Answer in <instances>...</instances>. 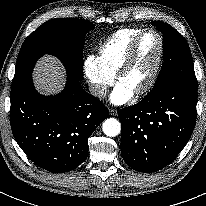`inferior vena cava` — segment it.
Returning <instances> with one entry per match:
<instances>
[{
    "label": "inferior vena cava",
    "instance_id": "602c4592",
    "mask_svg": "<svg viewBox=\"0 0 206 206\" xmlns=\"http://www.w3.org/2000/svg\"><path fill=\"white\" fill-rule=\"evenodd\" d=\"M90 93L98 98H104L107 95V87L99 84L89 86Z\"/></svg>",
    "mask_w": 206,
    "mask_h": 206
}]
</instances>
